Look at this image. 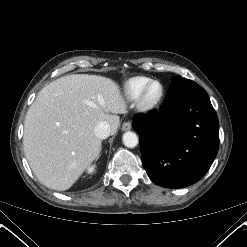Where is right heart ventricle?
I'll return each instance as SVG.
<instances>
[{"mask_svg": "<svg viewBox=\"0 0 247 247\" xmlns=\"http://www.w3.org/2000/svg\"><path fill=\"white\" fill-rule=\"evenodd\" d=\"M150 81H152L151 78L144 77V76H136V77L130 78L124 83V86H123V91H124L125 96L130 100L137 99L141 90Z\"/></svg>", "mask_w": 247, "mask_h": 247, "instance_id": "obj_1", "label": "right heart ventricle"}]
</instances>
